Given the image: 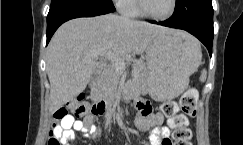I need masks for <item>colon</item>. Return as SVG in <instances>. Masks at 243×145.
I'll use <instances>...</instances> for the list:
<instances>
[{"instance_id":"obj_1","label":"colon","mask_w":243,"mask_h":145,"mask_svg":"<svg viewBox=\"0 0 243 145\" xmlns=\"http://www.w3.org/2000/svg\"><path fill=\"white\" fill-rule=\"evenodd\" d=\"M198 93L195 89H188L181 97L179 106L173 101L164 102L161 105L162 113L169 119V126L173 129V142L169 145H191V130L189 129L190 118L194 117L197 111ZM179 109L182 113H178ZM69 112L81 117L86 112V106L80 99H75L60 107L55 113L54 118L61 121L69 116ZM47 145H61L60 139L54 134L53 130L49 134Z\"/></svg>"}]
</instances>
